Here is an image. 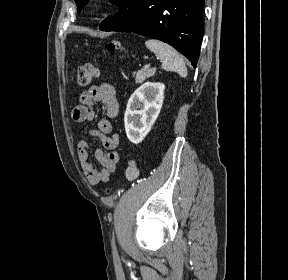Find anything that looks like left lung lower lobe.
I'll use <instances>...</instances> for the list:
<instances>
[{
  "instance_id": "0a47b994",
  "label": "left lung lower lobe",
  "mask_w": 288,
  "mask_h": 280,
  "mask_svg": "<svg viewBox=\"0 0 288 280\" xmlns=\"http://www.w3.org/2000/svg\"><path fill=\"white\" fill-rule=\"evenodd\" d=\"M204 0H132L100 24L102 31L133 32L168 43L196 67L203 38Z\"/></svg>"
}]
</instances>
